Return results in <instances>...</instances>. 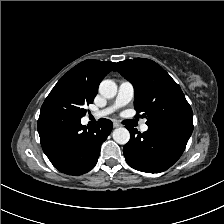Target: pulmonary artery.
Returning <instances> with one entry per match:
<instances>
[{"label": "pulmonary artery", "instance_id": "obj_1", "mask_svg": "<svg viewBox=\"0 0 224 224\" xmlns=\"http://www.w3.org/2000/svg\"><path fill=\"white\" fill-rule=\"evenodd\" d=\"M134 97V87L133 85L128 81H121L118 88V93L116 96V99L114 103L98 112H94L93 116L95 117H103L106 116L115 110H117L120 107H123L130 103ZM141 131L145 132L148 130V125L146 123H143L140 127Z\"/></svg>", "mask_w": 224, "mask_h": 224}]
</instances>
